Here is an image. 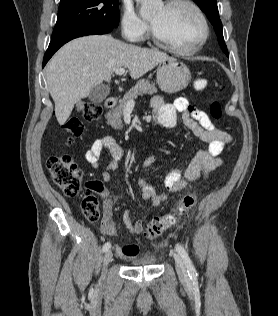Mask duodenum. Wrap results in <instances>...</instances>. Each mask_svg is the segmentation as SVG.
Instances as JSON below:
<instances>
[{
  "label": "duodenum",
  "mask_w": 278,
  "mask_h": 316,
  "mask_svg": "<svg viewBox=\"0 0 278 316\" xmlns=\"http://www.w3.org/2000/svg\"><path fill=\"white\" fill-rule=\"evenodd\" d=\"M117 102V99L115 97H108L105 102H104V106L105 108L109 109L115 106Z\"/></svg>",
  "instance_id": "410a0bca"
}]
</instances>
